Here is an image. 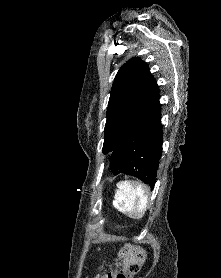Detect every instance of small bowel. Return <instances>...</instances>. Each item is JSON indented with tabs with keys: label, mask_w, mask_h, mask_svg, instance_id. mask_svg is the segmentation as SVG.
Instances as JSON below:
<instances>
[{
	"label": "small bowel",
	"mask_w": 221,
	"mask_h": 278,
	"mask_svg": "<svg viewBox=\"0 0 221 278\" xmlns=\"http://www.w3.org/2000/svg\"><path fill=\"white\" fill-rule=\"evenodd\" d=\"M118 260L120 269L126 270L127 267L134 261L143 259L144 253L132 245L123 246L118 252ZM118 271L111 270L104 274H97L94 278H117Z\"/></svg>",
	"instance_id": "obj_1"
}]
</instances>
